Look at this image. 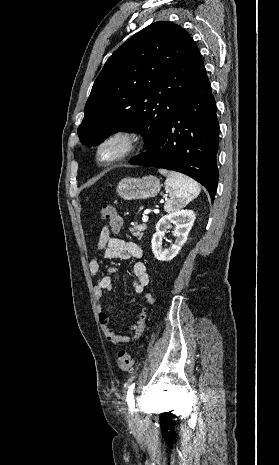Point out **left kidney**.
<instances>
[{"label": "left kidney", "mask_w": 279, "mask_h": 465, "mask_svg": "<svg viewBox=\"0 0 279 465\" xmlns=\"http://www.w3.org/2000/svg\"><path fill=\"white\" fill-rule=\"evenodd\" d=\"M196 214L192 210H176L163 216L156 224V233L151 240L152 251L159 261L172 260L181 250L193 226ZM174 225L173 234L176 237L170 249L162 248V240L167 229Z\"/></svg>", "instance_id": "1"}]
</instances>
